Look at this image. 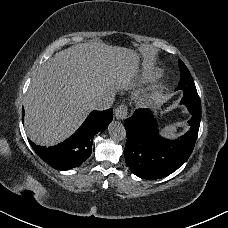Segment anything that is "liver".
Returning a JSON list of instances; mask_svg holds the SVG:
<instances>
[{"instance_id":"6515ba94","label":"liver","mask_w":228,"mask_h":228,"mask_svg":"<svg viewBox=\"0 0 228 228\" xmlns=\"http://www.w3.org/2000/svg\"><path fill=\"white\" fill-rule=\"evenodd\" d=\"M131 51L99 42L78 44L44 63L27 90L25 128L31 140L55 145L74 132L92 110L89 94L131 88Z\"/></svg>"}]
</instances>
